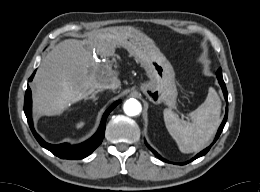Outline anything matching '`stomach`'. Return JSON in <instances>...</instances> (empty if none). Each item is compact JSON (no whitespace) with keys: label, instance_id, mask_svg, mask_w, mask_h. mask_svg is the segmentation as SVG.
<instances>
[{"label":"stomach","instance_id":"1","mask_svg":"<svg viewBox=\"0 0 260 192\" xmlns=\"http://www.w3.org/2000/svg\"><path fill=\"white\" fill-rule=\"evenodd\" d=\"M112 36L114 43L124 47L145 69L149 81L140 86L145 96L154 104L174 107L178 95L175 72L154 41L130 27H117Z\"/></svg>","mask_w":260,"mask_h":192}]
</instances>
